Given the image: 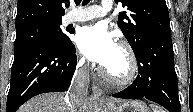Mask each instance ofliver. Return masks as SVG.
<instances>
[{
  "mask_svg": "<svg viewBox=\"0 0 193 112\" xmlns=\"http://www.w3.org/2000/svg\"><path fill=\"white\" fill-rule=\"evenodd\" d=\"M18 112H97V105L87 96L81 106L71 107L64 94L44 93L30 99Z\"/></svg>",
  "mask_w": 193,
  "mask_h": 112,
  "instance_id": "obj_1",
  "label": "liver"
}]
</instances>
